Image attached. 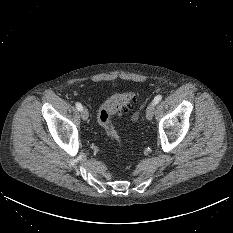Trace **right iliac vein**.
I'll list each match as a JSON object with an SVG mask.
<instances>
[{
	"label": "right iliac vein",
	"mask_w": 233,
	"mask_h": 233,
	"mask_svg": "<svg viewBox=\"0 0 233 233\" xmlns=\"http://www.w3.org/2000/svg\"><path fill=\"white\" fill-rule=\"evenodd\" d=\"M81 118H82L84 121H87L88 118H89L88 110H87L85 107L82 108V110H81Z\"/></svg>",
	"instance_id": "right-iliac-vein-1"
}]
</instances>
